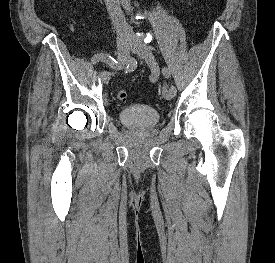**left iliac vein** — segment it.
<instances>
[{"label": "left iliac vein", "instance_id": "left-iliac-vein-1", "mask_svg": "<svg viewBox=\"0 0 275 263\" xmlns=\"http://www.w3.org/2000/svg\"><path fill=\"white\" fill-rule=\"evenodd\" d=\"M130 47L134 53H136L141 59H143L146 62V64L153 70V72L158 71V65L155 60V57L147 45H145L140 40H134L130 43ZM162 96L166 100H170L175 96V94L172 92L170 88H163Z\"/></svg>", "mask_w": 275, "mask_h": 263}]
</instances>
